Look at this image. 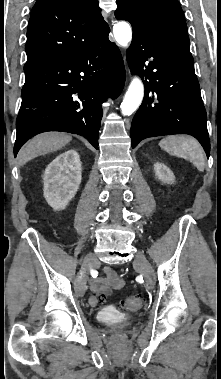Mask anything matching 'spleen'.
Wrapping results in <instances>:
<instances>
[{
  "mask_svg": "<svg viewBox=\"0 0 221 379\" xmlns=\"http://www.w3.org/2000/svg\"><path fill=\"white\" fill-rule=\"evenodd\" d=\"M159 146L173 156L190 161L200 172L204 171V151L194 138L182 135L167 136L159 142Z\"/></svg>",
  "mask_w": 221,
  "mask_h": 379,
  "instance_id": "1",
  "label": "spleen"
}]
</instances>
